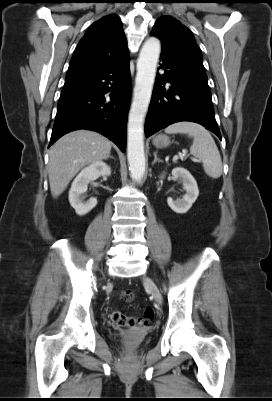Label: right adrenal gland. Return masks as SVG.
<instances>
[{
  "mask_svg": "<svg viewBox=\"0 0 272 401\" xmlns=\"http://www.w3.org/2000/svg\"><path fill=\"white\" fill-rule=\"evenodd\" d=\"M109 158H112V159H114V157H113V156H108V157L106 158V160H107V159H109Z\"/></svg>",
  "mask_w": 272,
  "mask_h": 401,
  "instance_id": "obj_1",
  "label": "right adrenal gland"
}]
</instances>
